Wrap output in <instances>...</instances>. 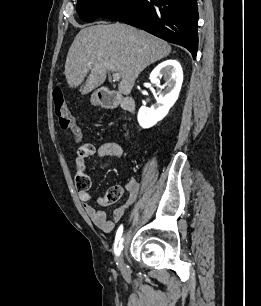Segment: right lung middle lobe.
Returning <instances> with one entry per match:
<instances>
[{"label": "right lung middle lobe", "mask_w": 261, "mask_h": 306, "mask_svg": "<svg viewBox=\"0 0 261 306\" xmlns=\"http://www.w3.org/2000/svg\"><path fill=\"white\" fill-rule=\"evenodd\" d=\"M122 0H78L76 10L80 18L85 21H93L103 13L119 4Z\"/></svg>", "instance_id": "right-lung-middle-lobe-1"}]
</instances>
